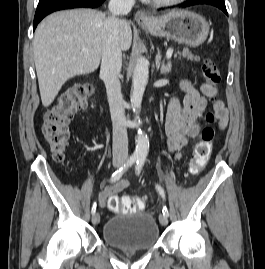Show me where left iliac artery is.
<instances>
[{
  "label": "left iliac artery",
  "instance_id": "44dca946",
  "mask_svg": "<svg viewBox=\"0 0 265 269\" xmlns=\"http://www.w3.org/2000/svg\"><path fill=\"white\" fill-rule=\"evenodd\" d=\"M145 159H146L145 156H141V157L138 158V160L136 162V166H135V170H136L137 175L140 174L141 169H142V167L144 165ZM155 187H156V190L159 192V194L164 199L165 198V194H164L163 188L160 185H158V184ZM162 212H163V215H165L166 217L169 216V212H168V209H167L166 206L163 207Z\"/></svg>",
  "mask_w": 265,
  "mask_h": 269
}]
</instances>
